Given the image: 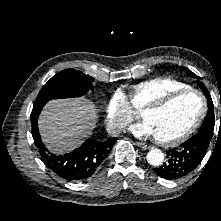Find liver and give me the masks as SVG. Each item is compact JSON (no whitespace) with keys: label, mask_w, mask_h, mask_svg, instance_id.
I'll return each instance as SVG.
<instances>
[{"label":"liver","mask_w":221,"mask_h":221,"mask_svg":"<svg viewBox=\"0 0 221 221\" xmlns=\"http://www.w3.org/2000/svg\"><path fill=\"white\" fill-rule=\"evenodd\" d=\"M97 116L94 104L86 98L51 100L40 115L39 132L49 150L63 154L91 134Z\"/></svg>","instance_id":"6515ba94"}]
</instances>
